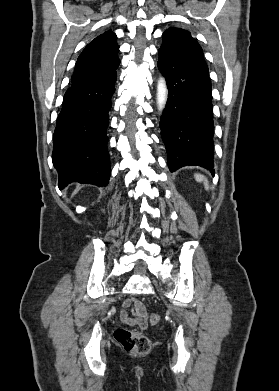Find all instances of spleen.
<instances>
[{"label":"spleen","instance_id":"spleen-1","mask_svg":"<svg viewBox=\"0 0 279 391\" xmlns=\"http://www.w3.org/2000/svg\"><path fill=\"white\" fill-rule=\"evenodd\" d=\"M194 177H195L197 182H203L204 183V186H205L206 190L209 189V182H208L207 178L204 175L196 173L194 175Z\"/></svg>","mask_w":279,"mask_h":391}]
</instances>
